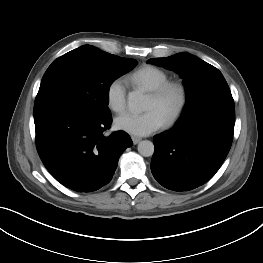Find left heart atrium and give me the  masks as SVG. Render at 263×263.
Listing matches in <instances>:
<instances>
[{
    "label": "left heart atrium",
    "instance_id": "1",
    "mask_svg": "<svg viewBox=\"0 0 263 263\" xmlns=\"http://www.w3.org/2000/svg\"><path fill=\"white\" fill-rule=\"evenodd\" d=\"M164 118L155 109L143 113L126 112L115 119V126L135 136H146L161 128Z\"/></svg>",
    "mask_w": 263,
    "mask_h": 263
}]
</instances>
